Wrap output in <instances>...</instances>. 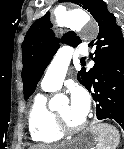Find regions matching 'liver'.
<instances>
[{"label": "liver", "mask_w": 124, "mask_h": 149, "mask_svg": "<svg viewBox=\"0 0 124 149\" xmlns=\"http://www.w3.org/2000/svg\"><path fill=\"white\" fill-rule=\"evenodd\" d=\"M30 149H60V147L59 146L50 147V146L41 144V145L32 146Z\"/></svg>", "instance_id": "1"}]
</instances>
